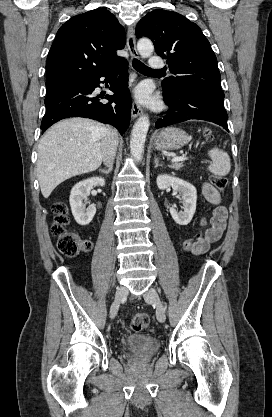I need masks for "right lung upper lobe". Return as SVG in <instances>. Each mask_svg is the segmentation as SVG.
<instances>
[{"label":"right lung upper lobe","mask_w":272,"mask_h":417,"mask_svg":"<svg viewBox=\"0 0 272 417\" xmlns=\"http://www.w3.org/2000/svg\"><path fill=\"white\" fill-rule=\"evenodd\" d=\"M125 31L106 9L76 15L58 30L46 63V89L99 74L120 62Z\"/></svg>","instance_id":"obj_1"}]
</instances>
